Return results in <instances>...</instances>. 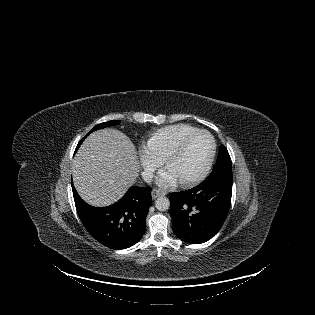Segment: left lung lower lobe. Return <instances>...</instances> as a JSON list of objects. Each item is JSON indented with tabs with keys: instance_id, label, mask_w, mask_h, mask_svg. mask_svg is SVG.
<instances>
[{
	"instance_id": "left-lung-lower-lobe-1",
	"label": "left lung lower lobe",
	"mask_w": 315,
	"mask_h": 315,
	"mask_svg": "<svg viewBox=\"0 0 315 315\" xmlns=\"http://www.w3.org/2000/svg\"><path fill=\"white\" fill-rule=\"evenodd\" d=\"M233 182H202L198 186L172 193L170 215L175 235L183 241L200 244L211 239L228 214Z\"/></svg>"
}]
</instances>
